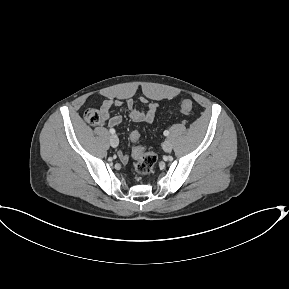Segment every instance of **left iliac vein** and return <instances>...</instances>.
Returning a JSON list of instances; mask_svg holds the SVG:
<instances>
[{
	"label": "left iliac vein",
	"mask_w": 289,
	"mask_h": 289,
	"mask_svg": "<svg viewBox=\"0 0 289 289\" xmlns=\"http://www.w3.org/2000/svg\"><path fill=\"white\" fill-rule=\"evenodd\" d=\"M163 150L165 152H171L172 150V143L169 141V140H166L164 143H163Z\"/></svg>",
	"instance_id": "4c4485c4"
}]
</instances>
